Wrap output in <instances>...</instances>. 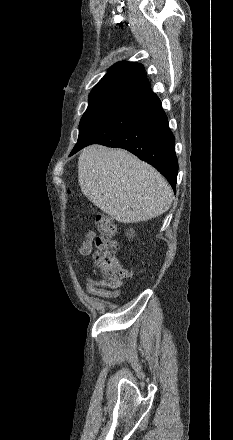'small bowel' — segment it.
<instances>
[{
    "label": "small bowel",
    "mask_w": 233,
    "mask_h": 440,
    "mask_svg": "<svg viewBox=\"0 0 233 440\" xmlns=\"http://www.w3.org/2000/svg\"><path fill=\"white\" fill-rule=\"evenodd\" d=\"M95 239V232H87L83 242L79 247V254L82 256L89 255L92 252ZM86 280V289L91 295L101 298H116L122 292V283H119L118 285H113L107 279L97 280L89 275L87 276Z\"/></svg>",
    "instance_id": "obj_1"
}]
</instances>
